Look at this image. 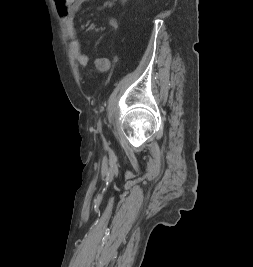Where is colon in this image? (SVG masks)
<instances>
[{
	"mask_svg": "<svg viewBox=\"0 0 253 267\" xmlns=\"http://www.w3.org/2000/svg\"><path fill=\"white\" fill-rule=\"evenodd\" d=\"M60 2H62V3H69V2H71V0H61Z\"/></svg>",
	"mask_w": 253,
	"mask_h": 267,
	"instance_id": "1",
	"label": "colon"
}]
</instances>
